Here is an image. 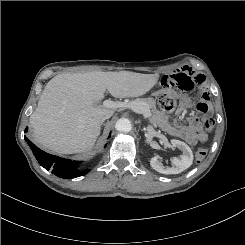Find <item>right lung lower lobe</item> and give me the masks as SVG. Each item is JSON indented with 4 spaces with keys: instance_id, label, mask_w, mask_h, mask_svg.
Here are the masks:
<instances>
[{
    "instance_id": "1",
    "label": "right lung lower lobe",
    "mask_w": 245,
    "mask_h": 245,
    "mask_svg": "<svg viewBox=\"0 0 245 245\" xmlns=\"http://www.w3.org/2000/svg\"><path fill=\"white\" fill-rule=\"evenodd\" d=\"M25 132H27V128ZM25 140L40 165L46 170H50L54 175L60 178L72 179L83 176L89 172V170H79V162L48 154L35 146L27 137H25Z\"/></svg>"
}]
</instances>
